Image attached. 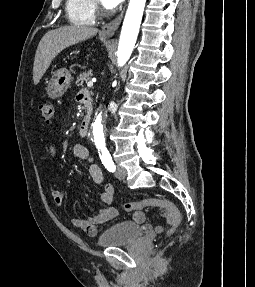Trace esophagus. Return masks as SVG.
I'll return each instance as SVG.
<instances>
[{
    "mask_svg": "<svg viewBox=\"0 0 255 287\" xmlns=\"http://www.w3.org/2000/svg\"><path fill=\"white\" fill-rule=\"evenodd\" d=\"M123 14H124V10L114 20H112L109 23H106V25H104L101 29V34L107 37H112L121 23Z\"/></svg>",
    "mask_w": 255,
    "mask_h": 287,
    "instance_id": "1",
    "label": "esophagus"
}]
</instances>
